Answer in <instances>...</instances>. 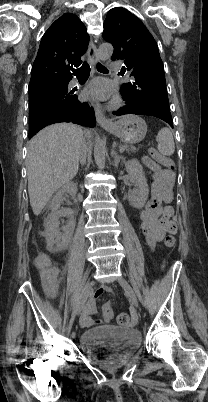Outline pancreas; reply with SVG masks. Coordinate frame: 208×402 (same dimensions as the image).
<instances>
[{
	"label": "pancreas",
	"mask_w": 208,
	"mask_h": 402,
	"mask_svg": "<svg viewBox=\"0 0 208 402\" xmlns=\"http://www.w3.org/2000/svg\"><path fill=\"white\" fill-rule=\"evenodd\" d=\"M124 148L127 152H129V150H131V152H137V148H134V146H124Z\"/></svg>",
	"instance_id": "pancreas-1"
}]
</instances>
